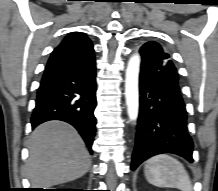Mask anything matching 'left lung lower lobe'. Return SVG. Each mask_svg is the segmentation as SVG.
Listing matches in <instances>:
<instances>
[{
    "instance_id": "0a47b994",
    "label": "left lung lower lobe",
    "mask_w": 218,
    "mask_h": 191,
    "mask_svg": "<svg viewBox=\"0 0 218 191\" xmlns=\"http://www.w3.org/2000/svg\"><path fill=\"white\" fill-rule=\"evenodd\" d=\"M140 54V109L131 170L161 153L178 154L192 162L193 142L178 77L171 69H156Z\"/></svg>"
}]
</instances>
